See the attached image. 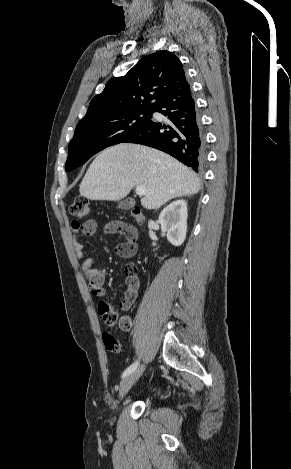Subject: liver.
I'll list each match as a JSON object with an SVG mask.
<instances>
[{"instance_id": "obj_1", "label": "liver", "mask_w": 291, "mask_h": 469, "mask_svg": "<svg viewBox=\"0 0 291 469\" xmlns=\"http://www.w3.org/2000/svg\"><path fill=\"white\" fill-rule=\"evenodd\" d=\"M134 186L147 190L141 205L157 209L173 198L198 193L200 181L191 169L164 152L121 143L94 159L79 191L90 200L116 201L125 198Z\"/></svg>"}]
</instances>
